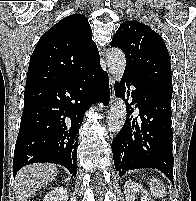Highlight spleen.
I'll list each match as a JSON object with an SVG mask.
<instances>
[{
	"instance_id": "3e777b00",
	"label": "spleen",
	"mask_w": 196,
	"mask_h": 201,
	"mask_svg": "<svg viewBox=\"0 0 196 201\" xmlns=\"http://www.w3.org/2000/svg\"><path fill=\"white\" fill-rule=\"evenodd\" d=\"M160 185V182L155 178L151 179L149 182L151 193L156 197H164L166 194L165 188H162Z\"/></svg>"
}]
</instances>
